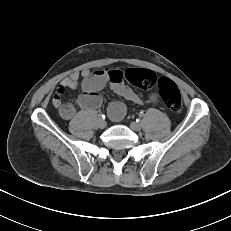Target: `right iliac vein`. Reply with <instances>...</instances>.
I'll use <instances>...</instances> for the list:
<instances>
[{"label":"right iliac vein","instance_id":"1","mask_svg":"<svg viewBox=\"0 0 231 231\" xmlns=\"http://www.w3.org/2000/svg\"><path fill=\"white\" fill-rule=\"evenodd\" d=\"M97 125H98L99 128L103 129V128L106 127V121L99 118L98 122H97Z\"/></svg>","mask_w":231,"mask_h":231}]
</instances>
